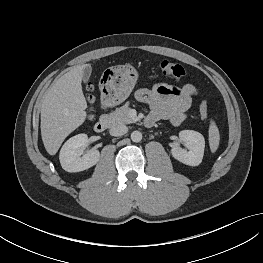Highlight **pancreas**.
Masks as SVG:
<instances>
[{
  "instance_id": "1",
  "label": "pancreas",
  "mask_w": 263,
  "mask_h": 263,
  "mask_svg": "<svg viewBox=\"0 0 263 263\" xmlns=\"http://www.w3.org/2000/svg\"><path fill=\"white\" fill-rule=\"evenodd\" d=\"M129 112L130 108L126 104L108 114L107 118L112 126L117 124L134 123L136 120L130 116Z\"/></svg>"
}]
</instances>
